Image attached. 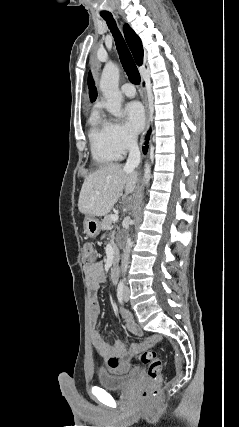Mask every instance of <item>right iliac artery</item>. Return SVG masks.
I'll list each match as a JSON object with an SVG mask.
<instances>
[{
	"instance_id": "82829eb1",
	"label": "right iliac artery",
	"mask_w": 239,
	"mask_h": 427,
	"mask_svg": "<svg viewBox=\"0 0 239 427\" xmlns=\"http://www.w3.org/2000/svg\"><path fill=\"white\" fill-rule=\"evenodd\" d=\"M123 296H124V284L122 281H120L117 287V298L121 304H123Z\"/></svg>"
}]
</instances>
